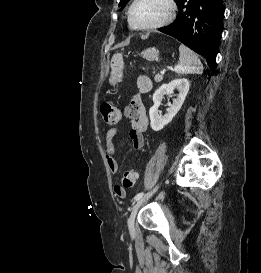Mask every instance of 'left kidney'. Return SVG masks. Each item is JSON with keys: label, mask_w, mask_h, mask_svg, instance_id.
<instances>
[{"label": "left kidney", "mask_w": 261, "mask_h": 273, "mask_svg": "<svg viewBox=\"0 0 261 273\" xmlns=\"http://www.w3.org/2000/svg\"><path fill=\"white\" fill-rule=\"evenodd\" d=\"M189 81L187 79H174L168 84L161 85L153 94L154 105L149 110L150 126L154 131H160L172 121L174 116L182 107L185 97L189 91ZM178 89L177 98L173 100V104L168 103L167 113L161 115L158 111L161 101L166 94H173L174 90Z\"/></svg>", "instance_id": "5707ae66"}]
</instances>
